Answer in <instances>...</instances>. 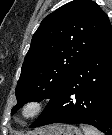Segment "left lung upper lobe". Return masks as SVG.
Instances as JSON below:
<instances>
[{"label":"left lung upper lobe","instance_id":"5c2ea615","mask_svg":"<svg viewBox=\"0 0 112 135\" xmlns=\"http://www.w3.org/2000/svg\"><path fill=\"white\" fill-rule=\"evenodd\" d=\"M110 26L90 0H74L46 16L22 65L12 114L28 101L51 99Z\"/></svg>","mask_w":112,"mask_h":135}]
</instances>
